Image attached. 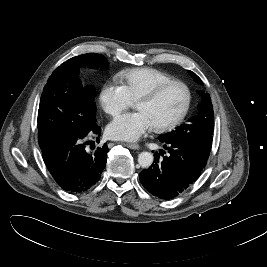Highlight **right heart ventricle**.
<instances>
[{
	"label": "right heart ventricle",
	"instance_id": "obj_1",
	"mask_svg": "<svg viewBox=\"0 0 267 267\" xmlns=\"http://www.w3.org/2000/svg\"><path fill=\"white\" fill-rule=\"evenodd\" d=\"M118 79L131 101L166 81L173 80L172 76L161 70L149 67L133 68L122 71Z\"/></svg>",
	"mask_w": 267,
	"mask_h": 267
}]
</instances>
